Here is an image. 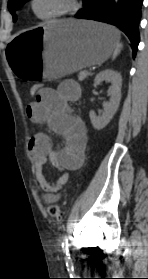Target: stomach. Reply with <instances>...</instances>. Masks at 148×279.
Instances as JSON below:
<instances>
[{"mask_svg": "<svg viewBox=\"0 0 148 279\" xmlns=\"http://www.w3.org/2000/svg\"><path fill=\"white\" fill-rule=\"evenodd\" d=\"M119 32L92 21H55L17 34L7 44L6 59L16 82H54L100 65L116 47Z\"/></svg>", "mask_w": 148, "mask_h": 279, "instance_id": "0dacf381", "label": "stomach"}]
</instances>
